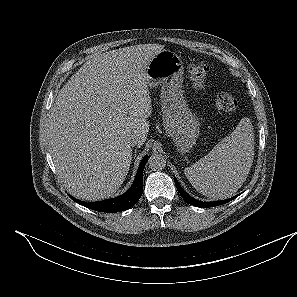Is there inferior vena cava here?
Returning a JSON list of instances; mask_svg holds the SVG:
<instances>
[{
	"label": "inferior vena cava",
	"mask_w": 297,
	"mask_h": 297,
	"mask_svg": "<svg viewBox=\"0 0 297 297\" xmlns=\"http://www.w3.org/2000/svg\"><path fill=\"white\" fill-rule=\"evenodd\" d=\"M127 143L129 146L133 147V146H136L139 144V139L136 135H130L128 138H127Z\"/></svg>",
	"instance_id": "obj_1"
}]
</instances>
